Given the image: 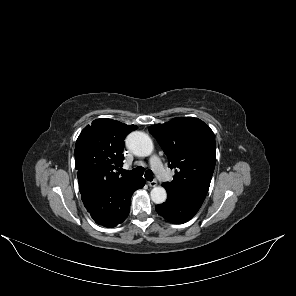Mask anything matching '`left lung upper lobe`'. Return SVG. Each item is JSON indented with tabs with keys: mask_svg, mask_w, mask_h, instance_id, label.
I'll return each instance as SVG.
<instances>
[{
	"mask_svg": "<svg viewBox=\"0 0 296 296\" xmlns=\"http://www.w3.org/2000/svg\"><path fill=\"white\" fill-rule=\"evenodd\" d=\"M177 168L172 182L163 184L167 194L205 199L213 175L216 153L214 133L194 117H177L148 128Z\"/></svg>",
	"mask_w": 296,
	"mask_h": 296,
	"instance_id": "obj_1",
	"label": "left lung upper lobe"
}]
</instances>
